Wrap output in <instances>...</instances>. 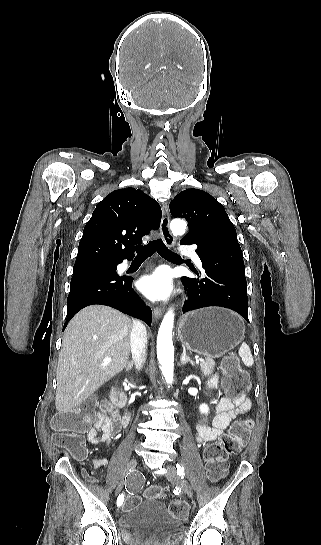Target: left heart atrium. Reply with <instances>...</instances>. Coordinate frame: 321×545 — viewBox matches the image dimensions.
<instances>
[{"mask_svg": "<svg viewBox=\"0 0 321 545\" xmlns=\"http://www.w3.org/2000/svg\"><path fill=\"white\" fill-rule=\"evenodd\" d=\"M139 289L151 299H166L173 292L172 277L168 270L159 269L150 275L142 277L139 281Z\"/></svg>", "mask_w": 321, "mask_h": 545, "instance_id": "1", "label": "left heart atrium"}]
</instances>
